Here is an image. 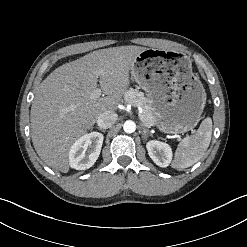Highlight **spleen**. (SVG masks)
<instances>
[{
    "label": "spleen",
    "mask_w": 247,
    "mask_h": 247,
    "mask_svg": "<svg viewBox=\"0 0 247 247\" xmlns=\"http://www.w3.org/2000/svg\"><path fill=\"white\" fill-rule=\"evenodd\" d=\"M212 135V120L204 119L193 136L184 138L175 151L172 167L177 170L188 168L198 162L209 147Z\"/></svg>",
    "instance_id": "1"
}]
</instances>
